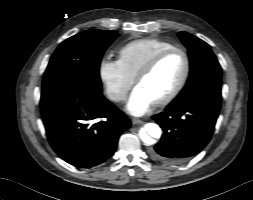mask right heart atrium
Segmentation results:
<instances>
[{"mask_svg":"<svg viewBox=\"0 0 253 200\" xmlns=\"http://www.w3.org/2000/svg\"><path fill=\"white\" fill-rule=\"evenodd\" d=\"M99 79L107 97L113 102L125 100L134 79L127 74L118 59L103 58L98 67Z\"/></svg>","mask_w":253,"mask_h":200,"instance_id":"1","label":"right heart atrium"}]
</instances>
